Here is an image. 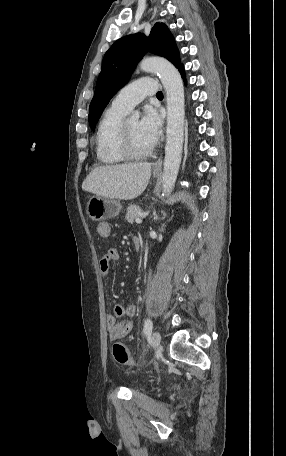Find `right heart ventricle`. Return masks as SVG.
Segmentation results:
<instances>
[{"mask_svg": "<svg viewBox=\"0 0 286 456\" xmlns=\"http://www.w3.org/2000/svg\"><path fill=\"white\" fill-rule=\"evenodd\" d=\"M126 113L111 105L98 125L95 137L96 155L103 164L115 165L127 160L119 143L120 128Z\"/></svg>", "mask_w": 286, "mask_h": 456, "instance_id": "1", "label": "right heart ventricle"}]
</instances>
